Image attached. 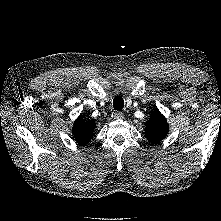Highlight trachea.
I'll list each match as a JSON object with an SVG mask.
<instances>
[{
	"mask_svg": "<svg viewBox=\"0 0 221 221\" xmlns=\"http://www.w3.org/2000/svg\"><path fill=\"white\" fill-rule=\"evenodd\" d=\"M123 106H124L123 98L120 97V96L115 97L114 100H113L114 109L115 110H122Z\"/></svg>",
	"mask_w": 221,
	"mask_h": 221,
	"instance_id": "trachea-1",
	"label": "trachea"
}]
</instances>
